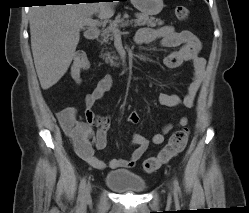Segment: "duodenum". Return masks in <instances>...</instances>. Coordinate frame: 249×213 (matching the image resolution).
<instances>
[{"label": "duodenum", "mask_w": 249, "mask_h": 213, "mask_svg": "<svg viewBox=\"0 0 249 213\" xmlns=\"http://www.w3.org/2000/svg\"><path fill=\"white\" fill-rule=\"evenodd\" d=\"M99 35V30L97 28H90L89 30H87L86 32V38L89 41H94L97 39Z\"/></svg>", "instance_id": "obj_1"}]
</instances>
